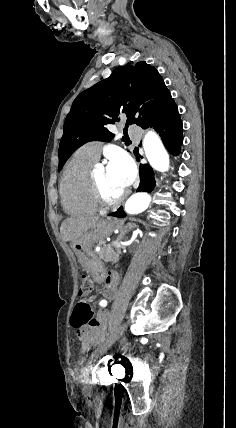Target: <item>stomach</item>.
Here are the masks:
<instances>
[{"label": "stomach", "instance_id": "1", "mask_svg": "<svg viewBox=\"0 0 236 428\" xmlns=\"http://www.w3.org/2000/svg\"><path fill=\"white\" fill-rule=\"evenodd\" d=\"M111 230L112 226L108 222H98L96 226H92L88 232H85L79 240L70 244L75 256L82 264V269H87V272L90 273V280L99 286L106 279L104 275L105 263L94 256L92 246L104 242L105 238L111 236Z\"/></svg>", "mask_w": 236, "mask_h": 428}]
</instances>
